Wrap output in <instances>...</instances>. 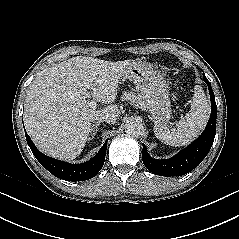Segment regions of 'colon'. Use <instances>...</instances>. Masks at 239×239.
Here are the masks:
<instances>
[{"instance_id":"1","label":"colon","mask_w":239,"mask_h":239,"mask_svg":"<svg viewBox=\"0 0 239 239\" xmlns=\"http://www.w3.org/2000/svg\"><path fill=\"white\" fill-rule=\"evenodd\" d=\"M182 87H183L184 90H188L189 89V86L187 84H184Z\"/></svg>"}]
</instances>
